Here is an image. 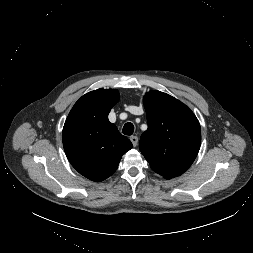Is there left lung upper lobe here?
Segmentation results:
<instances>
[{
	"mask_svg": "<svg viewBox=\"0 0 253 253\" xmlns=\"http://www.w3.org/2000/svg\"><path fill=\"white\" fill-rule=\"evenodd\" d=\"M148 129L139 149L152 170L166 179L183 174L195 160L201 128L194 113L176 98L150 91L144 98Z\"/></svg>",
	"mask_w": 253,
	"mask_h": 253,
	"instance_id": "left-lung-upper-lobe-1",
	"label": "left lung upper lobe"
}]
</instances>
